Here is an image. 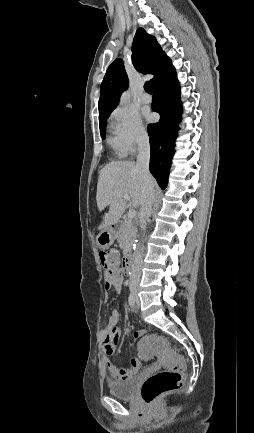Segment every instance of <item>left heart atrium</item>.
I'll return each instance as SVG.
<instances>
[{"mask_svg": "<svg viewBox=\"0 0 254 433\" xmlns=\"http://www.w3.org/2000/svg\"><path fill=\"white\" fill-rule=\"evenodd\" d=\"M146 117H147V120H148V121H151V120H152V117H151L150 115H147Z\"/></svg>", "mask_w": 254, "mask_h": 433, "instance_id": "obj_1", "label": "left heart atrium"}]
</instances>
